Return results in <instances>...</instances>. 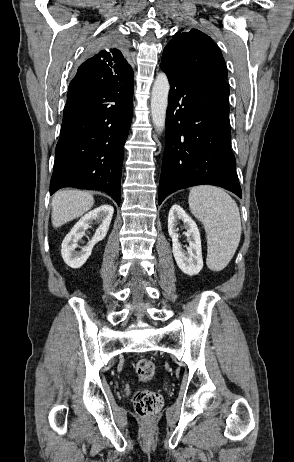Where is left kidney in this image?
I'll return each instance as SVG.
<instances>
[{
    "label": "left kidney",
    "mask_w": 294,
    "mask_h": 462,
    "mask_svg": "<svg viewBox=\"0 0 294 462\" xmlns=\"http://www.w3.org/2000/svg\"><path fill=\"white\" fill-rule=\"evenodd\" d=\"M179 220L184 222L189 247L187 252L182 249L178 240L176 225ZM168 233L172 238V251L178 267L187 275H196L203 268L201 239L195 221L188 216L183 208L177 204L173 205L168 215Z\"/></svg>",
    "instance_id": "1"
}]
</instances>
